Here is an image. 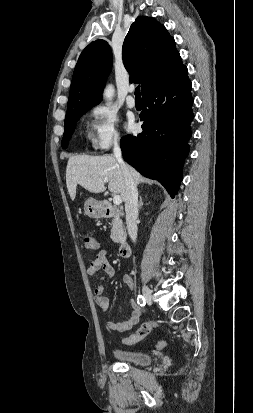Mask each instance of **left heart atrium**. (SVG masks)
Returning a JSON list of instances; mask_svg holds the SVG:
<instances>
[{
    "label": "left heart atrium",
    "instance_id": "39dd6f15",
    "mask_svg": "<svg viewBox=\"0 0 253 413\" xmlns=\"http://www.w3.org/2000/svg\"><path fill=\"white\" fill-rule=\"evenodd\" d=\"M126 127H127L128 130H132V129L134 128L133 119H129V120H128V122H127V124H126Z\"/></svg>",
    "mask_w": 253,
    "mask_h": 413
}]
</instances>
